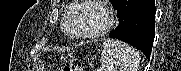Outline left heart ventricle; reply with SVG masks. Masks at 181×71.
<instances>
[{
  "mask_svg": "<svg viewBox=\"0 0 181 71\" xmlns=\"http://www.w3.org/2000/svg\"><path fill=\"white\" fill-rule=\"evenodd\" d=\"M106 23L104 12L97 6L85 7L79 16L78 31L84 34H89L98 31Z\"/></svg>",
  "mask_w": 181,
  "mask_h": 71,
  "instance_id": "left-heart-ventricle-1",
  "label": "left heart ventricle"
}]
</instances>
